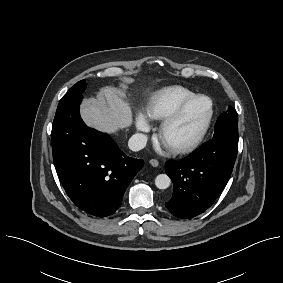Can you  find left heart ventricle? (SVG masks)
<instances>
[{
  "instance_id": "left-heart-ventricle-1",
  "label": "left heart ventricle",
  "mask_w": 283,
  "mask_h": 283,
  "mask_svg": "<svg viewBox=\"0 0 283 283\" xmlns=\"http://www.w3.org/2000/svg\"><path fill=\"white\" fill-rule=\"evenodd\" d=\"M210 111L208 99L192 103L180 120L166 133L163 141L169 147L186 143L195 138L204 126Z\"/></svg>"
}]
</instances>
